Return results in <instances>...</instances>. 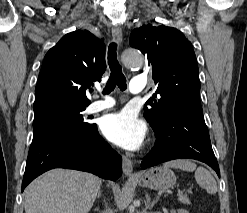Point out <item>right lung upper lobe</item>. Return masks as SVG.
Instances as JSON below:
<instances>
[{
  "mask_svg": "<svg viewBox=\"0 0 247 213\" xmlns=\"http://www.w3.org/2000/svg\"><path fill=\"white\" fill-rule=\"evenodd\" d=\"M105 69L103 40L87 30L66 34L45 55L33 109L54 101L89 105L86 89L101 80Z\"/></svg>",
  "mask_w": 247,
  "mask_h": 213,
  "instance_id": "1",
  "label": "right lung upper lobe"
}]
</instances>
